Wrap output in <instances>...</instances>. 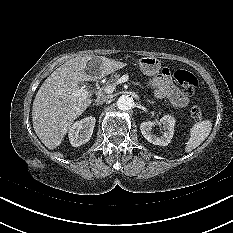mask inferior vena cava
Wrapping results in <instances>:
<instances>
[{
    "label": "inferior vena cava",
    "mask_w": 233,
    "mask_h": 233,
    "mask_svg": "<svg viewBox=\"0 0 233 233\" xmlns=\"http://www.w3.org/2000/svg\"><path fill=\"white\" fill-rule=\"evenodd\" d=\"M110 99L109 96H99L97 97V99L95 100L96 105H102L103 103L107 102Z\"/></svg>",
    "instance_id": "obj_1"
}]
</instances>
